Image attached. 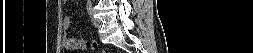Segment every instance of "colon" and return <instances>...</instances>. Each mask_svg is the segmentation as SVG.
Listing matches in <instances>:
<instances>
[{
	"instance_id": "1",
	"label": "colon",
	"mask_w": 253,
	"mask_h": 53,
	"mask_svg": "<svg viewBox=\"0 0 253 53\" xmlns=\"http://www.w3.org/2000/svg\"><path fill=\"white\" fill-rule=\"evenodd\" d=\"M78 47L94 50L98 47V43L95 40H78Z\"/></svg>"
}]
</instances>
